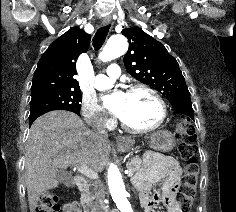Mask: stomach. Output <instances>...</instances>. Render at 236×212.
Returning <instances> with one entry per match:
<instances>
[{"instance_id":"stomach-1","label":"stomach","mask_w":236,"mask_h":212,"mask_svg":"<svg viewBox=\"0 0 236 212\" xmlns=\"http://www.w3.org/2000/svg\"><path fill=\"white\" fill-rule=\"evenodd\" d=\"M135 142L136 140L134 137H128L123 144V148L131 150L134 148ZM149 146L155 151L169 152L175 146V139L171 132L159 130L150 135Z\"/></svg>"}]
</instances>
